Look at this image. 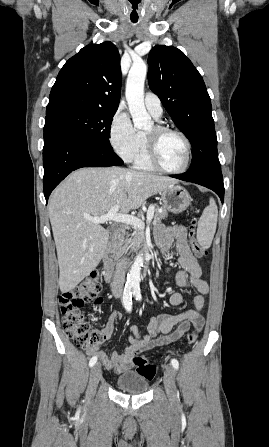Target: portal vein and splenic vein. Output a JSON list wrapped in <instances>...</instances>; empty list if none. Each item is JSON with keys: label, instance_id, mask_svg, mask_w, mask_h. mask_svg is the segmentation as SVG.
Segmentation results:
<instances>
[{"label": "portal vein and splenic vein", "instance_id": "obj_1", "mask_svg": "<svg viewBox=\"0 0 269 447\" xmlns=\"http://www.w3.org/2000/svg\"><path fill=\"white\" fill-rule=\"evenodd\" d=\"M155 205H148V212L145 219L146 225H151L154 216ZM119 206H114L109 210L108 214L105 216H99V218H92V216H84L86 220L89 222H94V224H105V222H122V224H130L134 225V227H138V229H144L145 224L143 220H139V218H135V216H128V214H118Z\"/></svg>", "mask_w": 269, "mask_h": 447}]
</instances>
